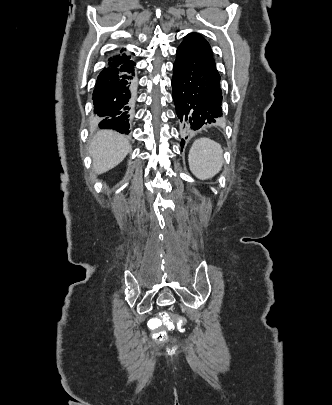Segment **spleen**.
<instances>
[{"label":"spleen","instance_id":"1","mask_svg":"<svg viewBox=\"0 0 332 405\" xmlns=\"http://www.w3.org/2000/svg\"><path fill=\"white\" fill-rule=\"evenodd\" d=\"M189 168L199 180H208L218 174L223 166V149L210 138L194 141L188 155Z\"/></svg>","mask_w":332,"mask_h":405}]
</instances>
